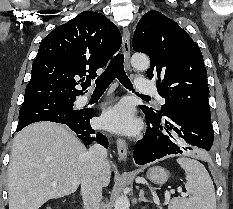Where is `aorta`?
Returning a JSON list of instances; mask_svg holds the SVG:
<instances>
[{"instance_id":"762f6f07","label":"aorta","mask_w":233,"mask_h":209,"mask_svg":"<svg viewBox=\"0 0 233 209\" xmlns=\"http://www.w3.org/2000/svg\"><path fill=\"white\" fill-rule=\"evenodd\" d=\"M132 66L140 71H144L149 67V58L144 54H134L131 58ZM130 202L127 195H121L118 197L115 203L114 209H129Z\"/></svg>"}]
</instances>
